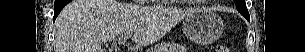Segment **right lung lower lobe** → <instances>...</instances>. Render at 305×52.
<instances>
[{
    "label": "right lung lower lobe",
    "instance_id": "right-lung-lower-lobe-1",
    "mask_svg": "<svg viewBox=\"0 0 305 52\" xmlns=\"http://www.w3.org/2000/svg\"><path fill=\"white\" fill-rule=\"evenodd\" d=\"M69 2H70V0H55L54 18H53L54 21H55L56 17L58 16V14L60 13V11L62 10V8Z\"/></svg>",
    "mask_w": 305,
    "mask_h": 52
}]
</instances>
